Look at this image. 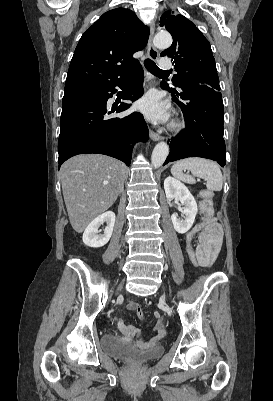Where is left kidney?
I'll return each mask as SVG.
<instances>
[{
	"label": "left kidney",
	"instance_id": "5707ae66",
	"mask_svg": "<svg viewBox=\"0 0 273 401\" xmlns=\"http://www.w3.org/2000/svg\"><path fill=\"white\" fill-rule=\"evenodd\" d=\"M164 188L167 198H178L181 205H184L182 215H185L184 219H178L177 213L171 215L173 227L177 233H187L191 229L195 217L197 215V203L193 194L188 190L187 186L173 178V176H167L164 180Z\"/></svg>",
	"mask_w": 273,
	"mask_h": 401
}]
</instances>
